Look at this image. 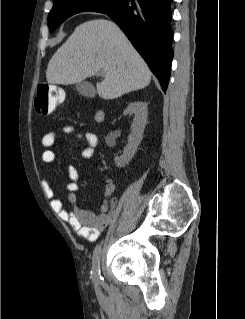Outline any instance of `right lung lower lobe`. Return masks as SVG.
Here are the masks:
<instances>
[{
    "label": "right lung lower lobe",
    "mask_w": 245,
    "mask_h": 319,
    "mask_svg": "<svg viewBox=\"0 0 245 319\" xmlns=\"http://www.w3.org/2000/svg\"><path fill=\"white\" fill-rule=\"evenodd\" d=\"M172 0H123L107 14L123 30L166 91L170 78Z\"/></svg>",
    "instance_id": "obj_1"
}]
</instances>
